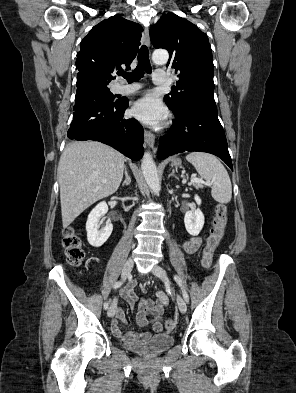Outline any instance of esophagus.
Segmentation results:
<instances>
[{"label":"esophagus","instance_id":"34e87169","mask_svg":"<svg viewBox=\"0 0 296 393\" xmlns=\"http://www.w3.org/2000/svg\"><path fill=\"white\" fill-rule=\"evenodd\" d=\"M143 42H144V44L146 46L149 47V45H150V37H149V28L148 27H146L144 29ZM144 139H145L146 144L150 148H152V150L155 152L156 151V148H155V135L152 132H150L148 130H145Z\"/></svg>","mask_w":296,"mask_h":393}]
</instances>
